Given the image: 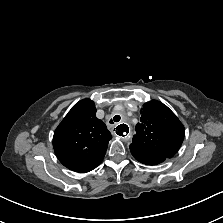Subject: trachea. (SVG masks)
<instances>
[{
	"mask_svg": "<svg viewBox=\"0 0 223 223\" xmlns=\"http://www.w3.org/2000/svg\"><path fill=\"white\" fill-rule=\"evenodd\" d=\"M120 119H121V117L119 115H115L113 120L111 119L109 123L113 124L114 122H119Z\"/></svg>",
	"mask_w": 223,
	"mask_h": 223,
	"instance_id": "1",
	"label": "trachea"
}]
</instances>
